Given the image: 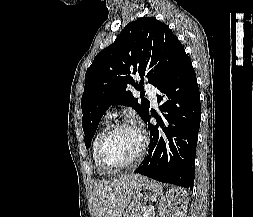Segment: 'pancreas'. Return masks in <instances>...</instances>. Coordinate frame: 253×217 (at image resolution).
<instances>
[{
  "instance_id": "pancreas-1",
  "label": "pancreas",
  "mask_w": 253,
  "mask_h": 217,
  "mask_svg": "<svg viewBox=\"0 0 253 217\" xmlns=\"http://www.w3.org/2000/svg\"><path fill=\"white\" fill-rule=\"evenodd\" d=\"M145 209H140L139 211L135 212L131 217H154V211H150L148 215L145 216L144 215Z\"/></svg>"
}]
</instances>
